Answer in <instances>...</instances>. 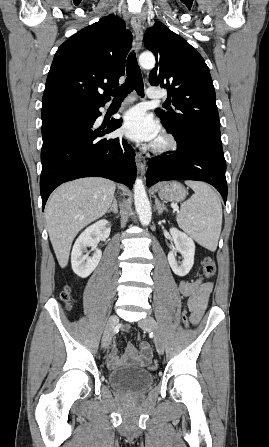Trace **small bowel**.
I'll return each mask as SVG.
<instances>
[{"label":"small bowel","mask_w":269,"mask_h":447,"mask_svg":"<svg viewBox=\"0 0 269 447\" xmlns=\"http://www.w3.org/2000/svg\"><path fill=\"white\" fill-rule=\"evenodd\" d=\"M178 289L183 296L188 298V307L191 312L190 320L193 324H197L202 318L207 306L210 294L213 290V283L204 281L202 277L194 281H180L178 284ZM128 328H124L127 331ZM137 339L142 337L140 332L135 334ZM146 342L140 343V354L136 352V348L133 344H128L125 348V353L119 356L117 353V348L114 346L111 348L107 365L110 368H116L127 361H133L136 365L144 367L146 361H152L153 356H143L141 353L142 348L145 346ZM145 368V367H144Z\"/></svg>","instance_id":"c3829d8e"}]
</instances>
